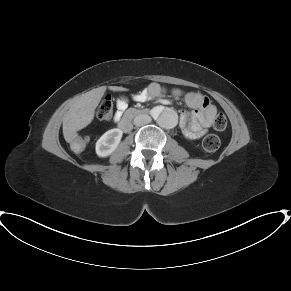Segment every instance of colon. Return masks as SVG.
I'll return each mask as SVG.
<instances>
[{
  "label": "colon",
  "mask_w": 291,
  "mask_h": 291,
  "mask_svg": "<svg viewBox=\"0 0 291 291\" xmlns=\"http://www.w3.org/2000/svg\"><path fill=\"white\" fill-rule=\"evenodd\" d=\"M113 114V99L110 95H106L99 104L97 109V117L99 120L106 121L111 118ZM227 126V118L223 113H218L214 119V128L217 130H224ZM203 148L207 152H215L220 147V139L214 134H208L204 137L202 142ZM72 147L81 151L84 148L82 139L72 142Z\"/></svg>",
  "instance_id": "colon-1"
}]
</instances>
